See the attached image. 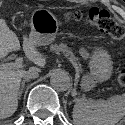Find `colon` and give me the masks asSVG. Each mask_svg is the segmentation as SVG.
<instances>
[{
  "label": "colon",
  "instance_id": "5ec220e1",
  "mask_svg": "<svg viewBox=\"0 0 125 125\" xmlns=\"http://www.w3.org/2000/svg\"><path fill=\"white\" fill-rule=\"evenodd\" d=\"M73 16L97 26L102 32L107 33L117 41L125 40V27L118 23L106 10L92 8L88 12L77 11ZM19 24L24 26L25 22L20 21ZM118 82L121 86H125V69L120 72Z\"/></svg>",
  "mask_w": 125,
  "mask_h": 125
}]
</instances>
